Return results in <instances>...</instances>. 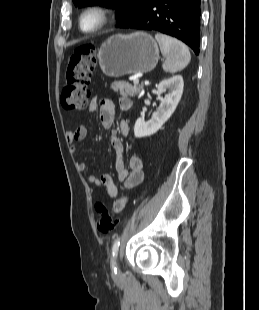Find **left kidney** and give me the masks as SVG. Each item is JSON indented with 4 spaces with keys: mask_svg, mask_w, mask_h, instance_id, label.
I'll return each instance as SVG.
<instances>
[{
    "mask_svg": "<svg viewBox=\"0 0 259 310\" xmlns=\"http://www.w3.org/2000/svg\"><path fill=\"white\" fill-rule=\"evenodd\" d=\"M183 77L175 75L161 81L157 87V95L160 106L152 118L145 122L144 118H138L134 126V135L137 138L155 134L163 124L174 113L183 93ZM168 90V94L162 97L161 94Z\"/></svg>",
    "mask_w": 259,
    "mask_h": 310,
    "instance_id": "5707ae66",
    "label": "left kidney"
}]
</instances>
